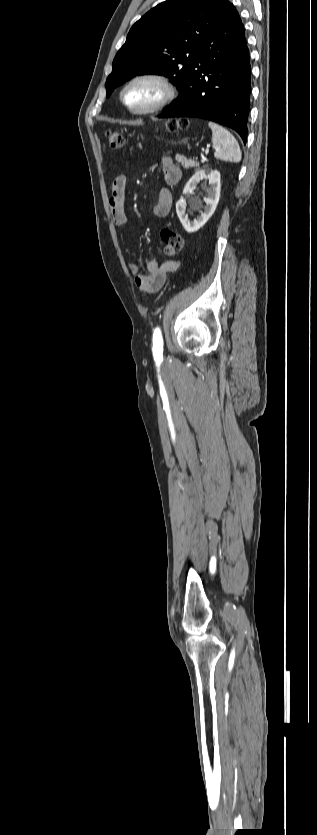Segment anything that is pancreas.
Masks as SVG:
<instances>
[{
  "mask_svg": "<svg viewBox=\"0 0 317 835\" xmlns=\"http://www.w3.org/2000/svg\"><path fill=\"white\" fill-rule=\"evenodd\" d=\"M176 161L181 163V165L188 169L193 167H199V163L194 159H187L184 155H176Z\"/></svg>",
  "mask_w": 317,
  "mask_h": 835,
  "instance_id": "1",
  "label": "pancreas"
}]
</instances>
